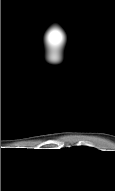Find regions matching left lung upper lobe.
<instances>
[{
  "mask_svg": "<svg viewBox=\"0 0 115 191\" xmlns=\"http://www.w3.org/2000/svg\"><path fill=\"white\" fill-rule=\"evenodd\" d=\"M71 149L79 151V152H83V153H92V152H97L96 149L91 148V147H84V146H80V147H72Z\"/></svg>",
  "mask_w": 115,
  "mask_h": 191,
  "instance_id": "1",
  "label": "left lung upper lobe"
}]
</instances>
